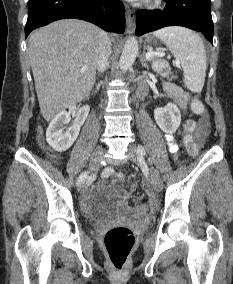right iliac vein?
<instances>
[{
  "mask_svg": "<svg viewBox=\"0 0 233 284\" xmlns=\"http://www.w3.org/2000/svg\"><path fill=\"white\" fill-rule=\"evenodd\" d=\"M103 153V148L102 146H98L95 151L93 152L90 161H89V169H90V173L89 176L93 177L94 176V172L97 171L98 169V165H99V160L102 156ZM90 181L89 177H84L83 178V183H79V187L76 190L77 194H80L81 192L84 191V188H87V184Z\"/></svg>",
  "mask_w": 233,
  "mask_h": 284,
  "instance_id": "1",
  "label": "right iliac vein"
}]
</instances>
